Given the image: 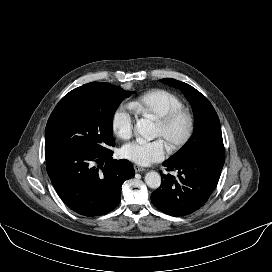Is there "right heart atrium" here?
Masks as SVG:
<instances>
[{"instance_id": "right-heart-atrium-1", "label": "right heart atrium", "mask_w": 272, "mask_h": 272, "mask_svg": "<svg viewBox=\"0 0 272 272\" xmlns=\"http://www.w3.org/2000/svg\"><path fill=\"white\" fill-rule=\"evenodd\" d=\"M112 129L116 136L122 140L131 138L134 130V117L129 107L121 105L114 111Z\"/></svg>"}]
</instances>
